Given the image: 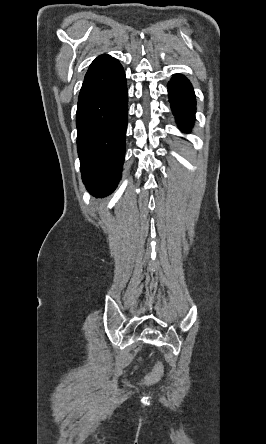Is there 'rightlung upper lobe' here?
Returning a JSON list of instances; mask_svg holds the SVG:
<instances>
[{
    "mask_svg": "<svg viewBox=\"0 0 266 444\" xmlns=\"http://www.w3.org/2000/svg\"><path fill=\"white\" fill-rule=\"evenodd\" d=\"M112 59L109 55H101L97 57L89 66V69L85 75V78L89 75L93 74L95 71L100 69L103 65H105L107 62H109Z\"/></svg>",
    "mask_w": 266,
    "mask_h": 444,
    "instance_id": "cb5924a9",
    "label": "right lung upper lobe"
}]
</instances>
